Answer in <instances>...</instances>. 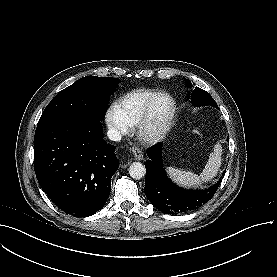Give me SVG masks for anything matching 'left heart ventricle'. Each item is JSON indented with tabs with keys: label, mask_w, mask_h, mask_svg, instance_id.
<instances>
[{
	"label": "left heart ventricle",
	"mask_w": 277,
	"mask_h": 277,
	"mask_svg": "<svg viewBox=\"0 0 277 277\" xmlns=\"http://www.w3.org/2000/svg\"><path fill=\"white\" fill-rule=\"evenodd\" d=\"M170 110V103L163 97H160L153 108L154 119L162 121Z\"/></svg>",
	"instance_id": "obj_1"
}]
</instances>
